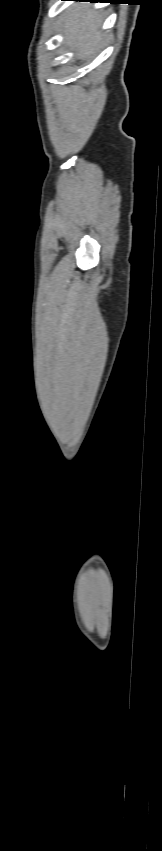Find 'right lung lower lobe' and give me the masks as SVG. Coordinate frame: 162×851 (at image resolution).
<instances>
[{
	"mask_svg": "<svg viewBox=\"0 0 162 851\" xmlns=\"http://www.w3.org/2000/svg\"><path fill=\"white\" fill-rule=\"evenodd\" d=\"M75 1H83V0H75ZM90 1L91 2H102V0H90ZM111 3H117V2H111Z\"/></svg>",
	"mask_w": 162,
	"mask_h": 851,
	"instance_id": "1",
	"label": "right lung lower lobe"
}]
</instances>
